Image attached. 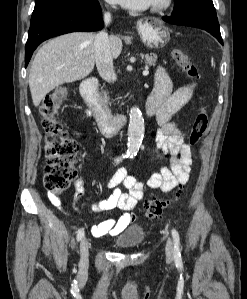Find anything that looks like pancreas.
Segmentation results:
<instances>
[{
  "mask_svg": "<svg viewBox=\"0 0 247 299\" xmlns=\"http://www.w3.org/2000/svg\"><path fill=\"white\" fill-rule=\"evenodd\" d=\"M144 61H145V63H146L147 65L155 66L156 61H157V55H156V54H146V55L144 56ZM104 96H105L106 98H108L106 92H104Z\"/></svg>",
  "mask_w": 247,
  "mask_h": 299,
  "instance_id": "1",
  "label": "pancreas"
}]
</instances>
